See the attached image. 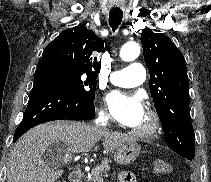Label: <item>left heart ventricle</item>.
<instances>
[{
	"mask_svg": "<svg viewBox=\"0 0 211 182\" xmlns=\"http://www.w3.org/2000/svg\"><path fill=\"white\" fill-rule=\"evenodd\" d=\"M150 120L147 114L145 113L144 117L142 118L141 122L134 127V129H145L149 126Z\"/></svg>",
	"mask_w": 211,
	"mask_h": 182,
	"instance_id": "left-heart-ventricle-1",
	"label": "left heart ventricle"
}]
</instances>
